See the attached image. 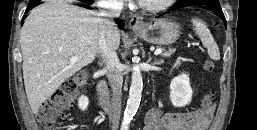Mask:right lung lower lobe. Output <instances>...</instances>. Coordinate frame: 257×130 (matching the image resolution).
<instances>
[{"instance_id":"98d812e1","label":"right lung lower lobe","mask_w":257,"mask_h":130,"mask_svg":"<svg viewBox=\"0 0 257 130\" xmlns=\"http://www.w3.org/2000/svg\"><path fill=\"white\" fill-rule=\"evenodd\" d=\"M37 5H38V1L31 0L29 3V6L27 7V9L25 11V14L28 13L31 9H33ZM24 19H25V15L23 16L22 20H24ZM116 22L119 24V27L123 28V23L120 20H118Z\"/></svg>"}]
</instances>
